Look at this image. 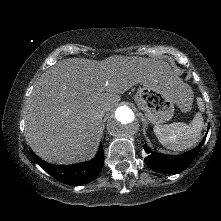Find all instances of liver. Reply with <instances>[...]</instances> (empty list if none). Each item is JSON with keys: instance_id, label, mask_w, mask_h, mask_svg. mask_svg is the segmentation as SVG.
<instances>
[{"instance_id": "1", "label": "liver", "mask_w": 221, "mask_h": 221, "mask_svg": "<svg viewBox=\"0 0 221 221\" xmlns=\"http://www.w3.org/2000/svg\"><path fill=\"white\" fill-rule=\"evenodd\" d=\"M164 61L111 56L102 61L60 60L46 70L25 104V138L43 160L60 165L90 158L96 151L102 118L137 84L167 82Z\"/></svg>"}]
</instances>
